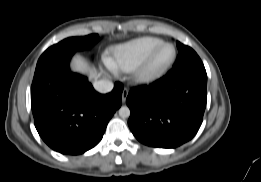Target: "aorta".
<instances>
[{
    "label": "aorta",
    "instance_id": "762f6f07",
    "mask_svg": "<svg viewBox=\"0 0 261 182\" xmlns=\"http://www.w3.org/2000/svg\"><path fill=\"white\" fill-rule=\"evenodd\" d=\"M119 116L121 118H128L130 116V109L127 106H122L119 109Z\"/></svg>",
    "mask_w": 261,
    "mask_h": 182
}]
</instances>
